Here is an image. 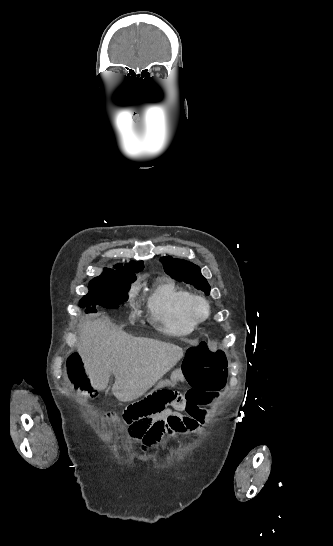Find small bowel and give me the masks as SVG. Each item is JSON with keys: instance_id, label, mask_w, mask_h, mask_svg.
<instances>
[{"instance_id": "c3829d8e", "label": "small bowel", "mask_w": 333, "mask_h": 546, "mask_svg": "<svg viewBox=\"0 0 333 546\" xmlns=\"http://www.w3.org/2000/svg\"><path fill=\"white\" fill-rule=\"evenodd\" d=\"M172 374L171 378L173 380L158 378L155 381V387H149V392L158 393L162 389L175 387L176 381L186 380L188 373L182 370H175ZM219 395V391L205 392L200 394L199 401L183 403V407L188 413L186 417L170 409H164L154 418H147L145 422H136L134 418H126L129 437L134 442L141 443L143 450H148L155 446L165 435L177 437L195 432L205 421L206 410L204 406L216 400Z\"/></svg>"}]
</instances>
